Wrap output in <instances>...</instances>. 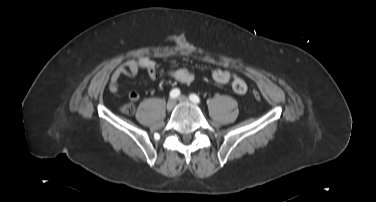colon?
<instances>
[{
  "label": "colon",
  "instance_id": "5ec220e1",
  "mask_svg": "<svg viewBox=\"0 0 376 202\" xmlns=\"http://www.w3.org/2000/svg\"><path fill=\"white\" fill-rule=\"evenodd\" d=\"M255 99H260V94L258 92H254ZM123 112L127 115H131L134 112V105L132 103H127L123 106Z\"/></svg>",
  "mask_w": 376,
  "mask_h": 202
}]
</instances>
